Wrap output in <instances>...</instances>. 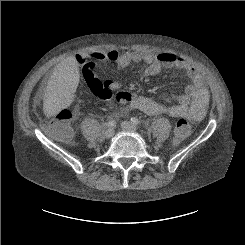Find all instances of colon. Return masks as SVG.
<instances>
[{
    "label": "colon",
    "instance_id": "1",
    "mask_svg": "<svg viewBox=\"0 0 245 245\" xmlns=\"http://www.w3.org/2000/svg\"><path fill=\"white\" fill-rule=\"evenodd\" d=\"M82 72L85 75L90 76L97 68L96 63L89 60H81ZM91 88L97 94L102 95L104 98H112L120 102L131 101L132 95L129 92H116L108 90L106 84H103L96 79H91ZM162 99L169 103L171 98L169 96H162ZM72 117L71 112L68 109H61L55 118L46 121L43 125L44 130L52 137L57 139H69L72 137V129L69 126V121ZM191 132V126L186 118H179L174 128L173 135L171 137V146L173 148H179L181 144L189 137Z\"/></svg>",
    "mask_w": 245,
    "mask_h": 245
}]
</instances>
